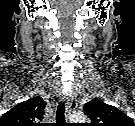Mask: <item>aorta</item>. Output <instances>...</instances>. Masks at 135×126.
Segmentation results:
<instances>
[{"label":"aorta","mask_w":135,"mask_h":126,"mask_svg":"<svg viewBox=\"0 0 135 126\" xmlns=\"http://www.w3.org/2000/svg\"><path fill=\"white\" fill-rule=\"evenodd\" d=\"M86 116L84 114H74L71 116V121H78L80 123L85 122Z\"/></svg>","instance_id":"aorta-1"}]
</instances>
